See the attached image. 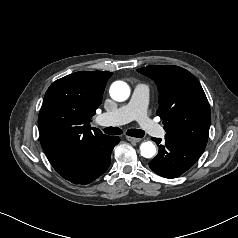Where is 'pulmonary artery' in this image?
<instances>
[{"instance_id":"1","label":"pulmonary artery","mask_w":238,"mask_h":238,"mask_svg":"<svg viewBox=\"0 0 238 238\" xmlns=\"http://www.w3.org/2000/svg\"><path fill=\"white\" fill-rule=\"evenodd\" d=\"M149 93L150 89L146 84H136L129 102L114 111L101 114L98 117L99 123L102 125H120L136 120L149 135L162 136L164 134L163 128L147 115Z\"/></svg>"}]
</instances>
